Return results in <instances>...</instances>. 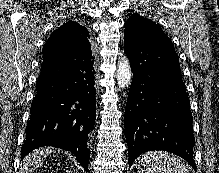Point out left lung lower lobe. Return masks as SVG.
Masks as SVG:
<instances>
[{
	"label": "left lung lower lobe",
	"mask_w": 219,
	"mask_h": 173,
	"mask_svg": "<svg viewBox=\"0 0 219 173\" xmlns=\"http://www.w3.org/2000/svg\"><path fill=\"white\" fill-rule=\"evenodd\" d=\"M133 80L124 127L129 166L142 153L163 150L193 159L192 114L173 45L124 40Z\"/></svg>",
	"instance_id": "left-lung-lower-lobe-1"
}]
</instances>
